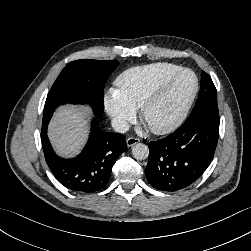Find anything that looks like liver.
<instances>
[{
	"mask_svg": "<svg viewBox=\"0 0 251 251\" xmlns=\"http://www.w3.org/2000/svg\"><path fill=\"white\" fill-rule=\"evenodd\" d=\"M86 109L68 105L57 109L48 130L55 150L62 156L77 154L85 144L89 131Z\"/></svg>",
	"mask_w": 251,
	"mask_h": 251,
	"instance_id": "1",
	"label": "liver"
}]
</instances>
